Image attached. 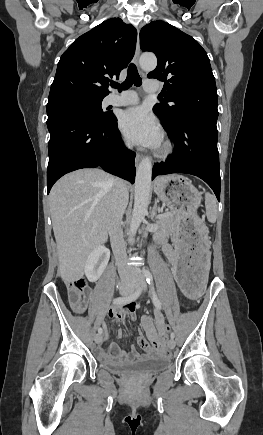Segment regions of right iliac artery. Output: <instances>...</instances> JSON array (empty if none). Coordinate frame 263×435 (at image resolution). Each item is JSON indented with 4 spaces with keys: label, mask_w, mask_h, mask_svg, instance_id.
<instances>
[{
    "label": "right iliac artery",
    "mask_w": 263,
    "mask_h": 435,
    "mask_svg": "<svg viewBox=\"0 0 263 435\" xmlns=\"http://www.w3.org/2000/svg\"><path fill=\"white\" fill-rule=\"evenodd\" d=\"M141 293V289H138L135 293H132L129 296L126 297H118L114 299V304H126L132 301H135ZM102 328H98V333H102Z\"/></svg>",
    "instance_id": "right-iliac-artery-1"
}]
</instances>
